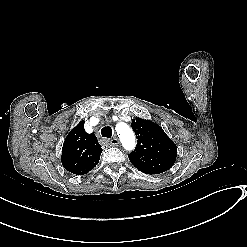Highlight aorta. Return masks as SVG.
<instances>
[{
	"label": "aorta",
	"instance_id": "762f6f07",
	"mask_svg": "<svg viewBox=\"0 0 247 247\" xmlns=\"http://www.w3.org/2000/svg\"><path fill=\"white\" fill-rule=\"evenodd\" d=\"M117 133L125 149L131 150L134 148L135 135L132 129L126 123H122L120 126H118Z\"/></svg>",
	"mask_w": 247,
	"mask_h": 247
}]
</instances>
